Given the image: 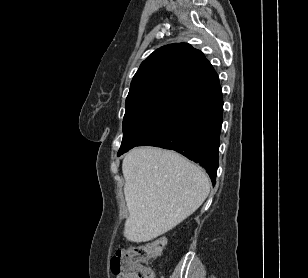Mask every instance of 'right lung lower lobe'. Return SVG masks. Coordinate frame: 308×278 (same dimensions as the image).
<instances>
[{
	"mask_svg": "<svg viewBox=\"0 0 308 278\" xmlns=\"http://www.w3.org/2000/svg\"><path fill=\"white\" fill-rule=\"evenodd\" d=\"M222 121L223 100L219 89L178 112L137 146L175 150L203 166L215 184Z\"/></svg>",
	"mask_w": 308,
	"mask_h": 278,
	"instance_id": "obj_1",
	"label": "right lung lower lobe"
}]
</instances>
